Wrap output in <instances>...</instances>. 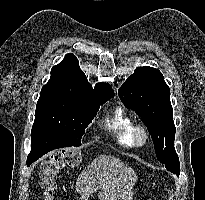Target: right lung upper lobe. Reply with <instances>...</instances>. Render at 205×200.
<instances>
[{
    "label": "right lung upper lobe",
    "mask_w": 205,
    "mask_h": 200,
    "mask_svg": "<svg viewBox=\"0 0 205 200\" xmlns=\"http://www.w3.org/2000/svg\"><path fill=\"white\" fill-rule=\"evenodd\" d=\"M48 83L63 84L75 88L96 100L107 99L114 95L111 86L106 83H98L93 89L80 69L78 59L72 53L65 55L64 60L51 69Z\"/></svg>",
    "instance_id": "right-lung-upper-lobe-1"
}]
</instances>
